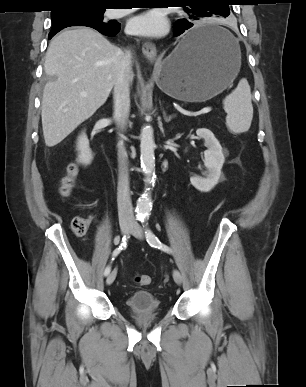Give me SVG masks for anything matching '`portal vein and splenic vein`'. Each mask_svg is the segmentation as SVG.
I'll use <instances>...</instances> for the list:
<instances>
[{"mask_svg":"<svg viewBox=\"0 0 306 387\" xmlns=\"http://www.w3.org/2000/svg\"><path fill=\"white\" fill-rule=\"evenodd\" d=\"M82 96H85L86 94L85 93H81ZM211 111V107H204L203 109H201L199 111L198 114H205V113H209Z\"/></svg>","mask_w":306,"mask_h":387,"instance_id":"portal-vein-and-splenic-vein-1","label":"portal vein and splenic vein"}]
</instances>
